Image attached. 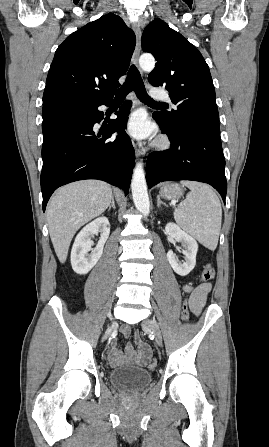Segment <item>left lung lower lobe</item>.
Wrapping results in <instances>:
<instances>
[{
    "mask_svg": "<svg viewBox=\"0 0 269 447\" xmlns=\"http://www.w3.org/2000/svg\"><path fill=\"white\" fill-rule=\"evenodd\" d=\"M153 116L168 135L171 148L148 156V187L172 180L204 182L213 186L225 203L227 181L220 134L206 129L169 127L156 113Z\"/></svg>",
    "mask_w": 269,
    "mask_h": 447,
    "instance_id": "left-lung-lower-lobe-1",
    "label": "left lung lower lobe"
}]
</instances>
